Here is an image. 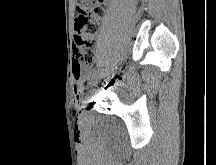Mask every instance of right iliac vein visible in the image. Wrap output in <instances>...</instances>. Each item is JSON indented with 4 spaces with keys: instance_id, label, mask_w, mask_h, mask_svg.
I'll return each instance as SVG.
<instances>
[{
    "instance_id": "63e3f726",
    "label": "right iliac vein",
    "mask_w": 216,
    "mask_h": 165,
    "mask_svg": "<svg viewBox=\"0 0 216 165\" xmlns=\"http://www.w3.org/2000/svg\"><path fill=\"white\" fill-rule=\"evenodd\" d=\"M97 79H98V76H97V75H94L93 78H91V80H90V84H89V85H90V86H89V87H90V88H89L90 90H89V91H90L91 93L94 91V90H93V89H94V88H93V87H94L93 85H94V83H96V80H97ZM87 98H88V99H87V101H86L85 103L88 105V104L90 103V101L92 100V99H91L92 97L89 95Z\"/></svg>"
}]
</instances>
